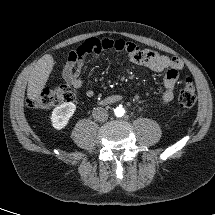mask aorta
<instances>
[{
	"mask_svg": "<svg viewBox=\"0 0 215 215\" xmlns=\"http://www.w3.org/2000/svg\"><path fill=\"white\" fill-rule=\"evenodd\" d=\"M114 113L117 117H122L125 114V109L121 106L114 109Z\"/></svg>",
	"mask_w": 215,
	"mask_h": 215,
	"instance_id": "762f6f07",
	"label": "aorta"
}]
</instances>
